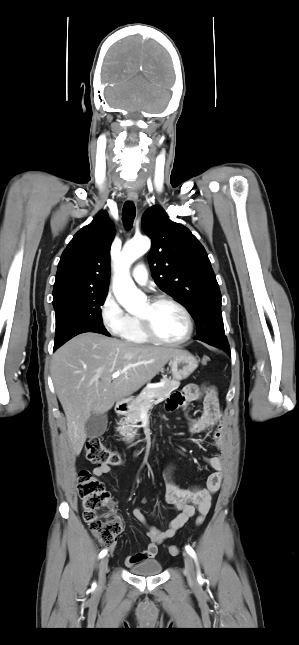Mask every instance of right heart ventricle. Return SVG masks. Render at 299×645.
Returning a JSON list of instances; mask_svg holds the SVG:
<instances>
[{"instance_id": "1", "label": "right heart ventricle", "mask_w": 299, "mask_h": 645, "mask_svg": "<svg viewBox=\"0 0 299 645\" xmlns=\"http://www.w3.org/2000/svg\"><path fill=\"white\" fill-rule=\"evenodd\" d=\"M122 338L134 344H146L150 342L142 332L137 316H129V323L122 334Z\"/></svg>"}]
</instances>
